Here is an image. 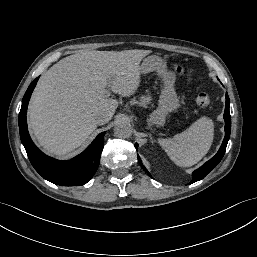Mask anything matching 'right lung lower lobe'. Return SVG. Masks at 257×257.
<instances>
[{
	"label": "right lung lower lobe",
	"instance_id": "obj_1",
	"mask_svg": "<svg viewBox=\"0 0 257 257\" xmlns=\"http://www.w3.org/2000/svg\"><path fill=\"white\" fill-rule=\"evenodd\" d=\"M39 77L28 87L19 113V130L22 144L35 170L46 180L62 186H80L87 183L96 172L104 147L105 132L100 133L80 155L59 161L42 153L31 140L26 121L27 106Z\"/></svg>",
	"mask_w": 257,
	"mask_h": 257
}]
</instances>
